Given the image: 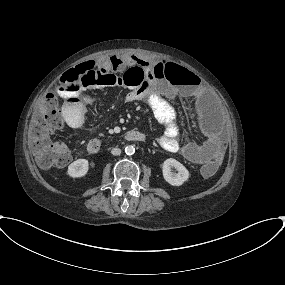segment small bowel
<instances>
[{"instance_id": "c3829d8e", "label": "small bowel", "mask_w": 285, "mask_h": 285, "mask_svg": "<svg viewBox=\"0 0 285 285\" xmlns=\"http://www.w3.org/2000/svg\"><path fill=\"white\" fill-rule=\"evenodd\" d=\"M141 62L148 78L147 87L141 91H129L125 98L128 102L146 101L157 122L164 126L162 134L158 137V143L166 150L172 153L183 154L188 160L206 164L217 155H222L224 143L220 136L218 128L210 123H205L202 127L204 135L203 142H197L193 139L185 143L181 142L180 130L176 121V112L174 108L159 94V88L166 87L174 95L180 93V86L192 84L194 73L180 65H173L178 70V74L170 78L169 82H164L159 78L154 64L146 60H137L130 56H124L120 66H128ZM60 83V95L65 100L63 104V114L66 123L71 128H79L82 119H87L89 105L96 102V92L105 87H114L116 84L97 79L93 84L80 87L66 88L65 83ZM84 86L85 88H82Z\"/></svg>"}]
</instances>
